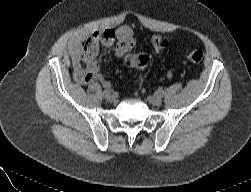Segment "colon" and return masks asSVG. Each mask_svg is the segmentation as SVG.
Here are the masks:
<instances>
[{"instance_id": "5ec220e1", "label": "colon", "mask_w": 251, "mask_h": 192, "mask_svg": "<svg viewBox=\"0 0 251 192\" xmlns=\"http://www.w3.org/2000/svg\"><path fill=\"white\" fill-rule=\"evenodd\" d=\"M155 49H163L167 45V40L162 36H154L151 40ZM204 58V52L200 49H190L187 51L186 59L193 64L200 63ZM124 65L126 67L145 69L150 65V58L146 54H125Z\"/></svg>"}]
</instances>
